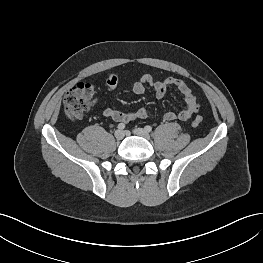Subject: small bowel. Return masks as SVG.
Segmentation results:
<instances>
[{"instance_id": "c3829d8e", "label": "small bowel", "mask_w": 263, "mask_h": 263, "mask_svg": "<svg viewBox=\"0 0 263 263\" xmlns=\"http://www.w3.org/2000/svg\"><path fill=\"white\" fill-rule=\"evenodd\" d=\"M118 83L119 77L116 74L110 73L106 76L105 86L107 90H114ZM147 86H151L153 88L154 94L157 98H163L170 87L177 88L183 95L185 100L184 107L178 112H166L163 115V119L166 121H185L199 111L200 105L196 97L192 93L190 87L182 79L168 77L163 80H155L151 75L146 74L133 84L132 90L135 94L140 95L145 92ZM102 113L103 116L119 123H128L135 119L145 120L149 116L148 111L145 108L127 112L115 110L112 108H105Z\"/></svg>"}]
</instances>
